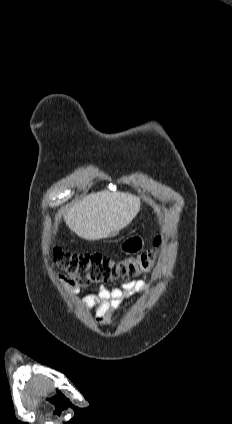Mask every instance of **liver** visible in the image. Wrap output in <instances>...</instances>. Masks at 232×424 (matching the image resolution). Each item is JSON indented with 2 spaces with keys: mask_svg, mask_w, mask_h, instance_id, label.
<instances>
[{
  "mask_svg": "<svg viewBox=\"0 0 232 424\" xmlns=\"http://www.w3.org/2000/svg\"><path fill=\"white\" fill-rule=\"evenodd\" d=\"M139 210L140 199L135 195L101 191L75 202L64 215V221L79 237L98 240L126 227Z\"/></svg>",
  "mask_w": 232,
  "mask_h": 424,
  "instance_id": "liver-1",
  "label": "liver"
}]
</instances>
